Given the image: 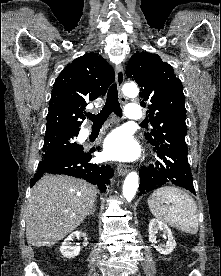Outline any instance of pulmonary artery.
Masks as SVG:
<instances>
[{"instance_id": "pulmonary-artery-1", "label": "pulmonary artery", "mask_w": 221, "mask_h": 276, "mask_svg": "<svg viewBox=\"0 0 221 276\" xmlns=\"http://www.w3.org/2000/svg\"><path fill=\"white\" fill-rule=\"evenodd\" d=\"M126 116L131 120H140L143 117V113L139 105L129 104L126 107Z\"/></svg>"}]
</instances>
